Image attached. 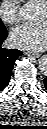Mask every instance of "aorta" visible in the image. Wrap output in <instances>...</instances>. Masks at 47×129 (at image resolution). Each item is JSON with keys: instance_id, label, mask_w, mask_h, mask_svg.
<instances>
[{"instance_id": "762f6f07", "label": "aorta", "mask_w": 47, "mask_h": 129, "mask_svg": "<svg viewBox=\"0 0 47 129\" xmlns=\"http://www.w3.org/2000/svg\"><path fill=\"white\" fill-rule=\"evenodd\" d=\"M37 9L33 4H25L19 10L20 17L25 21H32L36 18ZM40 68L46 73L47 70V59L43 57L40 62Z\"/></svg>"}]
</instances>
